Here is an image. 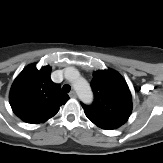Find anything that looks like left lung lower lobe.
<instances>
[{
	"mask_svg": "<svg viewBox=\"0 0 163 163\" xmlns=\"http://www.w3.org/2000/svg\"><path fill=\"white\" fill-rule=\"evenodd\" d=\"M98 127L102 128V129H106V130H112V129H115V128H118V127H115V126H109V125H98Z\"/></svg>",
	"mask_w": 163,
	"mask_h": 163,
	"instance_id": "1",
	"label": "left lung lower lobe"
}]
</instances>
